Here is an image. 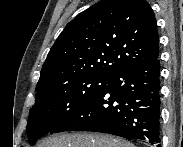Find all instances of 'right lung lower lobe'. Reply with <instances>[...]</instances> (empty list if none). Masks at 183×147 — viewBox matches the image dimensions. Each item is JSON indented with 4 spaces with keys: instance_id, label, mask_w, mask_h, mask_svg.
<instances>
[{
    "instance_id": "right-lung-lower-lobe-1",
    "label": "right lung lower lobe",
    "mask_w": 183,
    "mask_h": 147,
    "mask_svg": "<svg viewBox=\"0 0 183 147\" xmlns=\"http://www.w3.org/2000/svg\"><path fill=\"white\" fill-rule=\"evenodd\" d=\"M160 61L115 73L98 92L50 133L102 132L130 140L160 142Z\"/></svg>"
}]
</instances>
